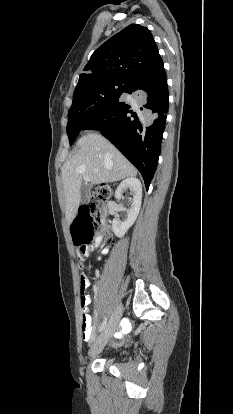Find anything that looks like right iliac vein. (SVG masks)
<instances>
[{
    "instance_id": "1",
    "label": "right iliac vein",
    "mask_w": 233,
    "mask_h": 414,
    "mask_svg": "<svg viewBox=\"0 0 233 414\" xmlns=\"http://www.w3.org/2000/svg\"><path fill=\"white\" fill-rule=\"evenodd\" d=\"M122 312H123V307L122 305H119L114 311V313L112 314V317L109 323L107 324L105 330L102 332L98 340L95 342V344L90 349V352H89L90 356H94L103 350V348L105 347L109 339L112 337L117 327V324L122 316Z\"/></svg>"
}]
</instances>
